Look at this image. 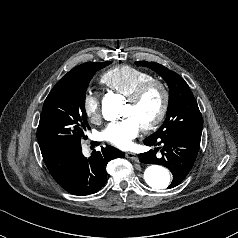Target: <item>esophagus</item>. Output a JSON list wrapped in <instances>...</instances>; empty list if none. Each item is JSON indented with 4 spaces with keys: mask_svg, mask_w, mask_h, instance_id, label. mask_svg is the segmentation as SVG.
Listing matches in <instances>:
<instances>
[{
    "mask_svg": "<svg viewBox=\"0 0 238 238\" xmlns=\"http://www.w3.org/2000/svg\"><path fill=\"white\" fill-rule=\"evenodd\" d=\"M125 156L129 159H132L134 161H138V155L132 152H127Z\"/></svg>",
    "mask_w": 238,
    "mask_h": 238,
    "instance_id": "34e87169",
    "label": "esophagus"
}]
</instances>
